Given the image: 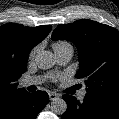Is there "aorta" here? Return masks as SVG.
<instances>
[{"mask_svg": "<svg viewBox=\"0 0 119 119\" xmlns=\"http://www.w3.org/2000/svg\"><path fill=\"white\" fill-rule=\"evenodd\" d=\"M35 62L40 69L46 70L52 68L56 61L54 55L49 51H42L35 57ZM51 110L55 114L62 115L67 110V104L62 98H55L51 102Z\"/></svg>", "mask_w": 119, "mask_h": 119, "instance_id": "762f6f07", "label": "aorta"}]
</instances>
